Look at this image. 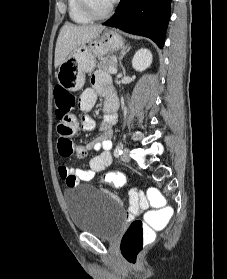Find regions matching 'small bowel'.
<instances>
[{
    "instance_id": "c3829d8e",
    "label": "small bowel",
    "mask_w": 227,
    "mask_h": 279,
    "mask_svg": "<svg viewBox=\"0 0 227 279\" xmlns=\"http://www.w3.org/2000/svg\"><path fill=\"white\" fill-rule=\"evenodd\" d=\"M99 96H103L107 102L117 103L116 95L110 88V79L103 73H96L92 76L91 87L85 89L79 97V108L84 112L92 110ZM115 121L116 116L114 114L105 116L100 125V137L89 142L86 146L74 145L67 136L60 137L58 150L62 157L75 153L77 158L83 159L89 150L101 151L98 156L88 161V167L86 165L60 167L59 176L67 185L71 186V180H74L75 184L81 181H89L93 179L96 173L105 170L112 164L113 155L110 149L112 147V127ZM79 125L87 132L95 129V122L91 117H83L80 122L76 119L72 121L73 130L77 129ZM149 207L150 204L146 197L138 196L135 192L132 193L129 214L142 213Z\"/></svg>"
}]
</instances>
